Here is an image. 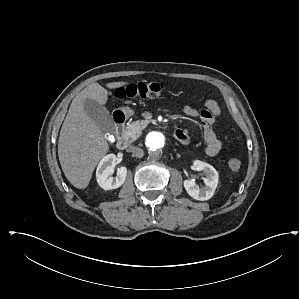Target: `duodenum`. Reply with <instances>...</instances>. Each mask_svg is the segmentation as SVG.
Segmentation results:
<instances>
[{
    "label": "duodenum",
    "instance_id": "1",
    "mask_svg": "<svg viewBox=\"0 0 299 299\" xmlns=\"http://www.w3.org/2000/svg\"><path fill=\"white\" fill-rule=\"evenodd\" d=\"M113 122L115 126V133L117 134L116 146L120 150H124L128 147V141L123 137L122 131L126 122V114L122 111H115L113 113ZM176 139L179 138L175 133Z\"/></svg>",
    "mask_w": 299,
    "mask_h": 299
}]
</instances>
